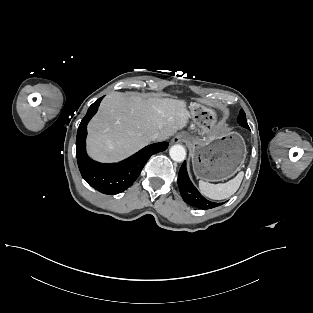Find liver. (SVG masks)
Here are the masks:
<instances>
[{
    "label": "liver",
    "mask_w": 313,
    "mask_h": 313,
    "mask_svg": "<svg viewBox=\"0 0 313 313\" xmlns=\"http://www.w3.org/2000/svg\"><path fill=\"white\" fill-rule=\"evenodd\" d=\"M190 118L183 100L113 92L100 104L88 125V153L95 160H121L147 145L150 135L161 140L187 126Z\"/></svg>",
    "instance_id": "6515ba94"
}]
</instances>
